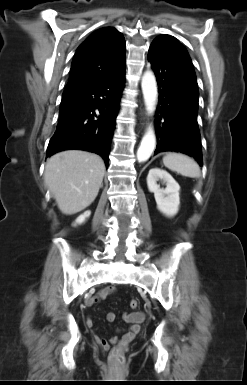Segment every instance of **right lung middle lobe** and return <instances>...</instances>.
<instances>
[{"label": "right lung middle lobe", "instance_id": "obj_1", "mask_svg": "<svg viewBox=\"0 0 247 385\" xmlns=\"http://www.w3.org/2000/svg\"><path fill=\"white\" fill-rule=\"evenodd\" d=\"M70 93H63L62 98L67 97Z\"/></svg>", "mask_w": 247, "mask_h": 385}]
</instances>
